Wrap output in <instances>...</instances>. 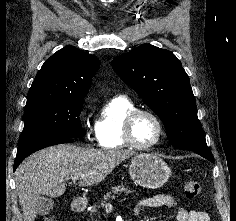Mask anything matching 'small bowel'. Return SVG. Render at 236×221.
I'll return each mask as SVG.
<instances>
[{
	"mask_svg": "<svg viewBox=\"0 0 236 221\" xmlns=\"http://www.w3.org/2000/svg\"><path fill=\"white\" fill-rule=\"evenodd\" d=\"M177 207V221H210L209 214L202 210H189L179 204L172 196L159 194L148 198L140 199L135 205V212L140 214L147 208Z\"/></svg>",
	"mask_w": 236,
	"mask_h": 221,
	"instance_id": "obj_1",
	"label": "small bowel"
}]
</instances>
